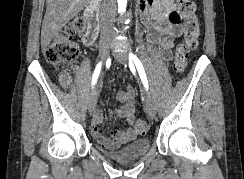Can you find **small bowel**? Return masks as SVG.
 Returning <instances> with one entry per match:
<instances>
[{
	"instance_id": "1",
	"label": "small bowel",
	"mask_w": 244,
	"mask_h": 179,
	"mask_svg": "<svg viewBox=\"0 0 244 179\" xmlns=\"http://www.w3.org/2000/svg\"><path fill=\"white\" fill-rule=\"evenodd\" d=\"M173 0L144 1L139 4V20L146 29L148 52L159 59L170 61L174 39L180 35L178 16L173 6ZM83 42L91 45L93 42L87 36ZM121 106L112 111L109 121L121 118L126 123L125 129H102L104 116L100 110H95L92 120V132L94 136L105 146H119L130 142L136 135L135 99L134 90L128 86L125 91L118 93Z\"/></svg>"
}]
</instances>
